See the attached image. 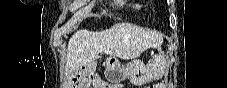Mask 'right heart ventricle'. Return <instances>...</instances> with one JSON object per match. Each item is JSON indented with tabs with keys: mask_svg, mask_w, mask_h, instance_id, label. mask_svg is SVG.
<instances>
[{
	"mask_svg": "<svg viewBox=\"0 0 227 88\" xmlns=\"http://www.w3.org/2000/svg\"><path fill=\"white\" fill-rule=\"evenodd\" d=\"M116 3L120 6V7H124V6H130L132 1L131 0H115Z\"/></svg>",
	"mask_w": 227,
	"mask_h": 88,
	"instance_id": "obj_1",
	"label": "right heart ventricle"
}]
</instances>
